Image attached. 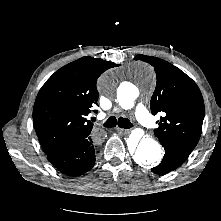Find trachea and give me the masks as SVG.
Returning <instances> with one entry per match:
<instances>
[{
	"instance_id": "obj_1",
	"label": "trachea",
	"mask_w": 221,
	"mask_h": 221,
	"mask_svg": "<svg viewBox=\"0 0 221 221\" xmlns=\"http://www.w3.org/2000/svg\"><path fill=\"white\" fill-rule=\"evenodd\" d=\"M118 125L120 128L128 129L132 127V123L127 118H116L115 116H111L108 120L103 124L106 128H112Z\"/></svg>"
}]
</instances>
